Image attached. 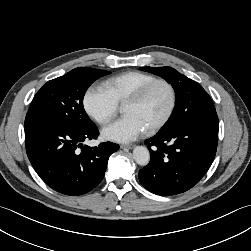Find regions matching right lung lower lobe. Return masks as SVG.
I'll return each instance as SVG.
<instances>
[{"label":"right lung lower lobe","instance_id":"98d812e1","mask_svg":"<svg viewBox=\"0 0 251 251\" xmlns=\"http://www.w3.org/2000/svg\"><path fill=\"white\" fill-rule=\"evenodd\" d=\"M98 135L96 125L77 130L37 115L25 119L26 152L33 168L49 187L66 195L87 193L103 179L109 156L119 145L83 146Z\"/></svg>","mask_w":251,"mask_h":251}]
</instances>
